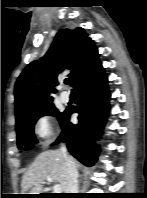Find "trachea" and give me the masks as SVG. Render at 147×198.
I'll list each match as a JSON object with an SVG mask.
<instances>
[{"label": "trachea", "mask_w": 147, "mask_h": 198, "mask_svg": "<svg viewBox=\"0 0 147 198\" xmlns=\"http://www.w3.org/2000/svg\"><path fill=\"white\" fill-rule=\"evenodd\" d=\"M64 82H65V84H69L70 81H69V79H65Z\"/></svg>", "instance_id": "trachea-1"}]
</instances>
